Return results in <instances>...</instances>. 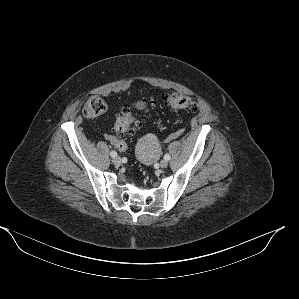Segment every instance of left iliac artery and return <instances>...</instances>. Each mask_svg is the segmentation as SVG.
I'll return each mask as SVG.
<instances>
[{"mask_svg": "<svg viewBox=\"0 0 299 299\" xmlns=\"http://www.w3.org/2000/svg\"><path fill=\"white\" fill-rule=\"evenodd\" d=\"M170 158H171V156H170L169 154H166V155L164 156V159L167 160V161L170 160Z\"/></svg>", "mask_w": 299, "mask_h": 299, "instance_id": "1", "label": "left iliac artery"}]
</instances>
